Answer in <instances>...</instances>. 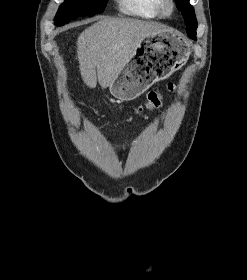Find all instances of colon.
<instances>
[{"mask_svg": "<svg viewBox=\"0 0 247 280\" xmlns=\"http://www.w3.org/2000/svg\"><path fill=\"white\" fill-rule=\"evenodd\" d=\"M168 89L170 91H173L175 89L174 84L170 83L168 85ZM162 99H163V96L160 92L151 91L147 95V99H146L145 103L135 107L133 109V113L139 117H144V115L147 111H153L155 109H158L162 104Z\"/></svg>", "mask_w": 247, "mask_h": 280, "instance_id": "colon-1", "label": "colon"}]
</instances>
